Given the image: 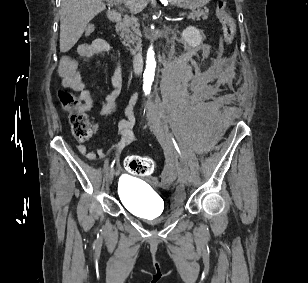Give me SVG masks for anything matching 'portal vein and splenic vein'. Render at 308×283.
Returning a JSON list of instances; mask_svg holds the SVG:
<instances>
[{"mask_svg": "<svg viewBox=\"0 0 308 283\" xmlns=\"http://www.w3.org/2000/svg\"><path fill=\"white\" fill-rule=\"evenodd\" d=\"M108 2H110V3H112L113 2V0H107ZM186 13H181L180 15L181 16H183V15H185Z\"/></svg>", "mask_w": 308, "mask_h": 283, "instance_id": "18ae733b", "label": "portal vein and splenic vein"}]
</instances>
